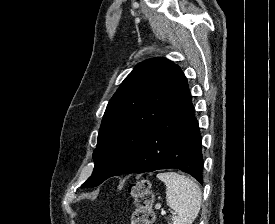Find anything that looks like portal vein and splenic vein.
<instances>
[{"instance_id": "18ae733b", "label": "portal vein and splenic vein", "mask_w": 275, "mask_h": 224, "mask_svg": "<svg viewBox=\"0 0 275 224\" xmlns=\"http://www.w3.org/2000/svg\"><path fill=\"white\" fill-rule=\"evenodd\" d=\"M166 212L164 210L161 211V215H164Z\"/></svg>"}]
</instances>
